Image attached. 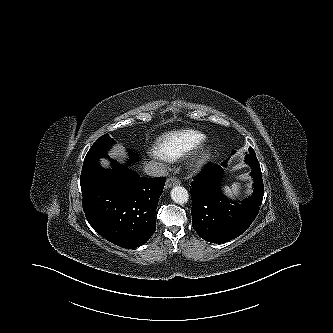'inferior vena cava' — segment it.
I'll return each instance as SVG.
<instances>
[{
  "instance_id": "1",
  "label": "inferior vena cava",
  "mask_w": 333,
  "mask_h": 333,
  "mask_svg": "<svg viewBox=\"0 0 333 333\" xmlns=\"http://www.w3.org/2000/svg\"><path fill=\"white\" fill-rule=\"evenodd\" d=\"M145 172L147 175L152 177H161V176H167L168 175V169L167 167L159 162H149L144 167Z\"/></svg>"
}]
</instances>
